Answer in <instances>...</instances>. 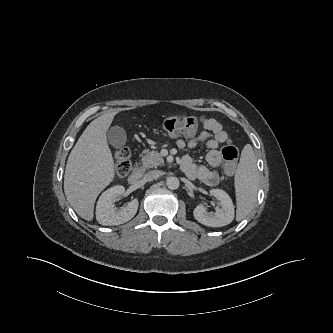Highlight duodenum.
Instances as JSON below:
<instances>
[{
  "label": "duodenum",
  "mask_w": 333,
  "mask_h": 333,
  "mask_svg": "<svg viewBox=\"0 0 333 333\" xmlns=\"http://www.w3.org/2000/svg\"><path fill=\"white\" fill-rule=\"evenodd\" d=\"M143 167H137L133 173L129 176L128 182L131 185H136L140 181L142 175H143Z\"/></svg>",
  "instance_id": "1"
}]
</instances>
